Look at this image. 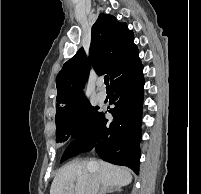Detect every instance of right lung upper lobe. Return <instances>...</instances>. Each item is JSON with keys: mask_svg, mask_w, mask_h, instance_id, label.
<instances>
[{"mask_svg": "<svg viewBox=\"0 0 201 194\" xmlns=\"http://www.w3.org/2000/svg\"><path fill=\"white\" fill-rule=\"evenodd\" d=\"M133 40V32L126 23L104 13L98 16L92 27L89 60L84 49L80 48L57 75L56 119L71 114L88 101L82 94V88L90 65L99 75L109 74L111 83L135 65L139 52Z\"/></svg>", "mask_w": 201, "mask_h": 194, "instance_id": "cb5924a9", "label": "right lung upper lobe"}]
</instances>
